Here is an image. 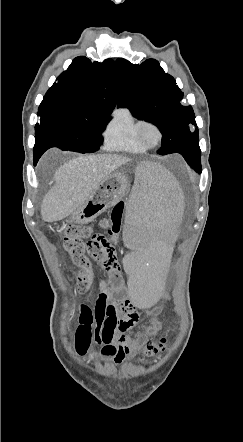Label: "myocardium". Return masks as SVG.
<instances>
[{"instance_id":"obj_1","label":"myocardium","mask_w":243,"mask_h":442,"mask_svg":"<svg viewBox=\"0 0 243 442\" xmlns=\"http://www.w3.org/2000/svg\"><path fill=\"white\" fill-rule=\"evenodd\" d=\"M148 126H152V127H154V128L156 129V131L158 132V140H157V142H156L155 144H149V143H147V142L144 140V137H143V131H144V129H145L146 127H148ZM137 138H138L139 142H140L145 148H147V149H153V148L159 146V145L162 143V141H163V139H164V132H163L162 127H161L157 122H155V121H153V120H149V119H143V120L140 122V124H139V126H138V129H137Z\"/></svg>"}]
</instances>
